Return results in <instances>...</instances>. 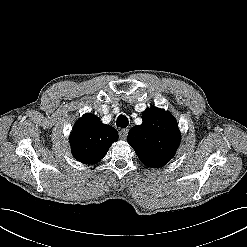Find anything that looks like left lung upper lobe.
Wrapping results in <instances>:
<instances>
[{
	"mask_svg": "<svg viewBox=\"0 0 247 247\" xmlns=\"http://www.w3.org/2000/svg\"><path fill=\"white\" fill-rule=\"evenodd\" d=\"M142 120L141 125L130 129L128 143L143 164L162 167L174 157L180 143L176 119L163 109L150 107L143 112Z\"/></svg>",
	"mask_w": 247,
	"mask_h": 247,
	"instance_id": "1",
	"label": "left lung upper lobe"
}]
</instances>
